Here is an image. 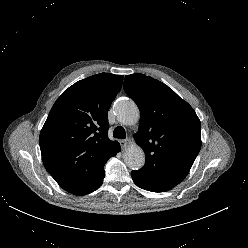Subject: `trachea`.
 Listing matches in <instances>:
<instances>
[{"label":"trachea","mask_w":248,"mask_h":248,"mask_svg":"<svg viewBox=\"0 0 248 248\" xmlns=\"http://www.w3.org/2000/svg\"><path fill=\"white\" fill-rule=\"evenodd\" d=\"M113 136L114 138L125 139L126 138L125 129L122 126H117L113 131Z\"/></svg>","instance_id":"trachea-1"}]
</instances>
